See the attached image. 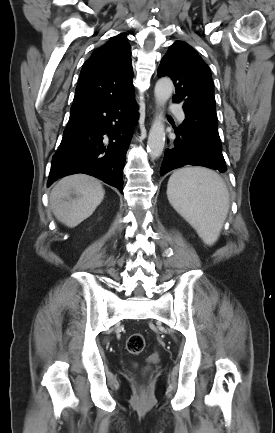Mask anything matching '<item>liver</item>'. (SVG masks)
<instances>
[{"instance_id":"liver-1","label":"liver","mask_w":275,"mask_h":433,"mask_svg":"<svg viewBox=\"0 0 275 433\" xmlns=\"http://www.w3.org/2000/svg\"><path fill=\"white\" fill-rule=\"evenodd\" d=\"M104 194L105 191L96 178L74 174L62 178L54 186L49 202L57 220L74 228L93 214Z\"/></svg>"}]
</instances>
